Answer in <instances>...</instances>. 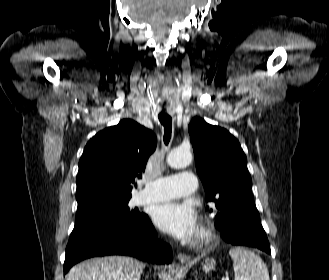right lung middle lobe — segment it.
I'll return each mask as SVG.
<instances>
[{
    "mask_svg": "<svg viewBox=\"0 0 329 280\" xmlns=\"http://www.w3.org/2000/svg\"><path fill=\"white\" fill-rule=\"evenodd\" d=\"M128 198H120L108 195H92L77 199L78 209L75 226L85 224L97 218L114 219L131 226H138L144 222L147 215L130 210Z\"/></svg>",
    "mask_w": 329,
    "mask_h": 280,
    "instance_id": "obj_1",
    "label": "right lung middle lobe"
}]
</instances>
